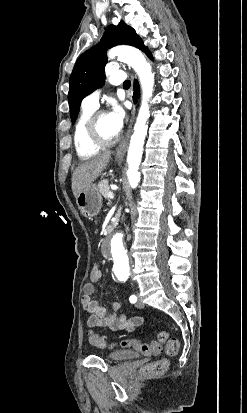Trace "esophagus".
<instances>
[{"instance_id":"obj_1","label":"esophagus","mask_w":247,"mask_h":413,"mask_svg":"<svg viewBox=\"0 0 247 413\" xmlns=\"http://www.w3.org/2000/svg\"><path fill=\"white\" fill-rule=\"evenodd\" d=\"M135 114H136V107L135 105H133L132 107V111H131V118H130V123L128 126V130H127V134L125 136V138L122 140V142L116 147V155L118 158H122L126 152V149L128 147V143H129V138H130V134L132 131V126L134 123V119H135Z\"/></svg>"}]
</instances>
